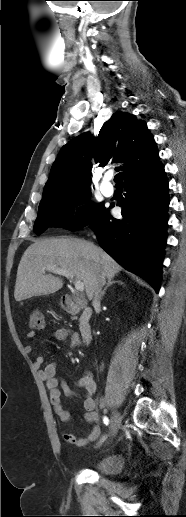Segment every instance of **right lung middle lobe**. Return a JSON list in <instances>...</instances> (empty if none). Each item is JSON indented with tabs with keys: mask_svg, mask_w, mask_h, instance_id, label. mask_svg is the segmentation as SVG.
<instances>
[{
	"mask_svg": "<svg viewBox=\"0 0 186 517\" xmlns=\"http://www.w3.org/2000/svg\"><path fill=\"white\" fill-rule=\"evenodd\" d=\"M89 190L74 192L57 196L47 200H41L38 208V216L34 223V232L39 235L46 227H68V218L72 211V207L78 202L88 197ZM103 210V207L98 206L91 215L87 218L83 217L80 221L83 223H91L98 214ZM80 226H76L72 229H78Z\"/></svg>",
	"mask_w": 186,
	"mask_h": 517,
	"instance_id": "dd1d6c3e",
	"label": "right lung middle lobe"
}]
</instances>
